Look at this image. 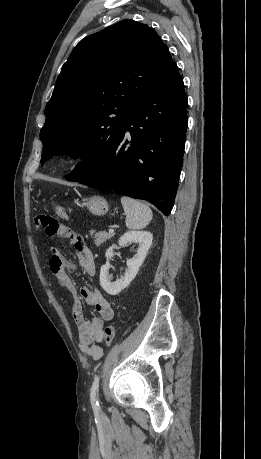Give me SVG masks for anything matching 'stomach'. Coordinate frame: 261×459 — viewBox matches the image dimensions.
Listing matches in <instances>:
<instances>
[{
    "instance_id": "0dacf381",
    "label": "stomach",
    "mask_w": 261,
    "mask_h": 459,
    "mask_svg": "<svg viewBox=\"0 0 261 459\" xmlns=\"http://www.w3.org/2000/svg\"><path fill=\"white\" fill-rule=\"evenodd\" d=\"M88 210L94 215H104L108 212L107 201L100 196H92L84 203Z\"/></svg>"
}]
</instances>
